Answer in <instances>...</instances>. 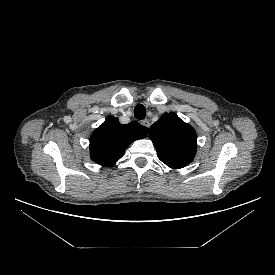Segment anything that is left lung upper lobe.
I'll list each match as a JSON object with an SVG mask.
<instances>
[{"mask_svg": "<svg viewBox=\"0 0 275 275\" xmlns=\"http://www.w3.org/2000/svg\"><path fill=\"white\" fill-rule=\"evenodd\" d=\"M158 158L172 169H180L191 163L197 150V135L189 124L177 114L163 115L150 129Z\"/></svg>", "mask_w": 275, "mask_h": 275, "instance_id": "obj_1", "label": "left lung upper lobe"}]
</instances>
